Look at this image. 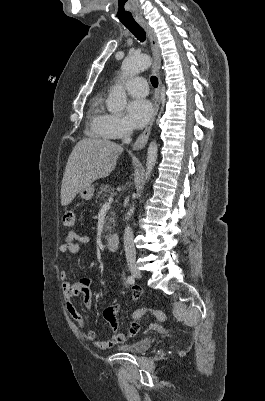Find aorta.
I'll return each instance as SVG.
<instances>
[{"mask_svg": "<svg viewBox=\"0 0 265 401\" xmlns=\"http://www.w3.org/2000/svg\"><path fill=\"white\" fill-rule=\"evenodd\" d=\"M149 62H151L150 56L148 54H141L140 62H137L133 56H130V58H126V60H123L121 70L123 76H126V74H137V72H140L142 68H147ZM125 104H127V98H126V92L121 86V84H116V86H113L108 98H107V106L108 110H111V112H119V110H123ZM158 152V146L156 142H150L147 150V164H146V172L144 174L145 180H148L150 178V174L154 168V164L157 160V154ZM135 209V205L133 203L132 207H130L128 213H127V221L131 215H133Z\"/></svg>", "mask_w": 265, "mask_h": 401, "instance_id": "obj_1", "label": "aorta"}]
</instances>
